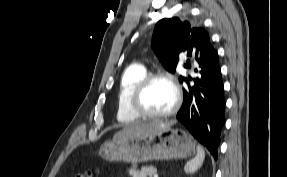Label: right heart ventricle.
Wrapping results in <instances>:
<instances>
[{"mask_svg":"<svg viewBox=\"0 0 287 177\" xmlns=\"http://www.w3.org/2000/svg\"><path fill=\"white\" fill-rule=\"evenodd\" d=\"M146 74L145 67L136 64L127 67L121 75L117 90V119L119 122L134 123L141 118L131 109L130 98L135 87Z\"/></svg>","mask_w":287,"mask_h":177,"instance_id":"e07e8e85","label":"right heart ventricle"}]
</instances>
